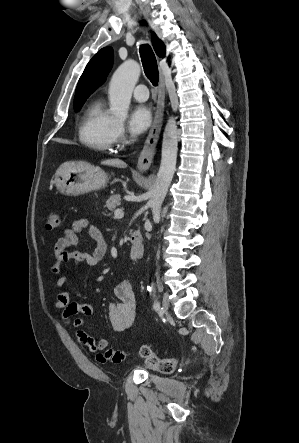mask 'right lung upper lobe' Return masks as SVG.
Returning <instances> with one entry per match:
<instances>
[{
	"instance_id": "cb5924a9",
	"label": "right lung upper lobe",
	"mask_w": 299,
	"mask_h": 443,
	"mask_svg": "<svg viewBox=\"0 0 299 443\" xmlns=\"http://www.w3.org/2000/svg\"><path fill=\"white\" fill-rule=\"evenodd\" d=\"M152 44L159 57H164L165 46L156 35L152 34ZM113 63V49L105 47L99 50L87 64L76 88L74 106L84 103L100 85H102Z\"/></svg>"
}]
</instances>
